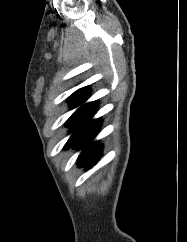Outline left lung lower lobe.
Masks as SVG:
<instances>
[{
    "label": "left lung lower lobe",
    "mask_w": 187,
    "mask_h": 242,
    "mask_svg": "<svg viewBox=\"0 0 187 242\" xmlns=\"http://www.w3.org/2000/svg\"><path fill=\"white\" fill-rule=\"evenodd\" d=\"M101 121H97L90 129H88L73 145V148L80 150L81 154L78 156V166L91 168L94 166L102 156V145L97 142H91L97 135L100 129Z\"/></svg>",
    "instance_id": "1"
}]
</instances>
